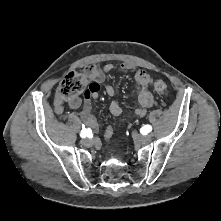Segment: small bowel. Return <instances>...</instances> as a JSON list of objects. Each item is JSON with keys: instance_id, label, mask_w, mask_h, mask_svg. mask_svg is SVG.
Segmentation results:
<instances>
[{"instance_id": "small-bowel-1", "label": "small bowel", "mask_w": 221, "mask_h": 221, "mask_svg": "<svg viewBox=\"0 0 221 221\" xmlns=\"http://www.w3.org/2000/svg\"><path fill=\"white\" fill-rule=\"evenodd\" d=\"M115 68L112 63L106 64L99 68L96 66H89L85 69L86 74L91 79L89 87L85 88L82 92L85 98L83 104L82 118L85 124L93 129H97L98 123L94 116L92 115V105L91 100L98 98V94L102 90V82L105 80L106 76ZM121 69L124 71L135 70V66L131 63L121 64ZM134 79L136 82V94L138 98V107L135 109L134 113L138 117H144L146 115L147 109L153 105L154 97L150 91L153 85V78L144 70L138 69L135 71ZM105 91L108 96L113 97L115 95V88L112 85H107ZM70 108L77 109L81 106L82 100L79 97L70 98L67 100ZM55 111L60 114L63 112V100L58 96L55 99ZM109 110L111 114L118 116L122 113V108L119 103L112 100L110 103ZM113 135L112 126H107L105 130L106 140H110Z\"/></svg>"}]
</instances>
